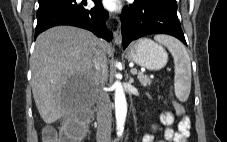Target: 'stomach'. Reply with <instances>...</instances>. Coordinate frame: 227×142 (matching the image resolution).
I'll return each instance as SVG.
<instances>
[{"label": "stomach", "mask_w": 227, "mask_h": 142, "mask_svg": "<svg viewBox=\"0 0 227 142\" xmlns=\"http://www.w3.org/2000/svg\"><path fill=\"white\" fill-rule=\"evenodd\" d=\"M126 57L129 61L148 70H160L168 61L165 49L148 38L134 42L128 48Z\"/></svg>", "instance_id": "0dacf381"}]
</instances>
